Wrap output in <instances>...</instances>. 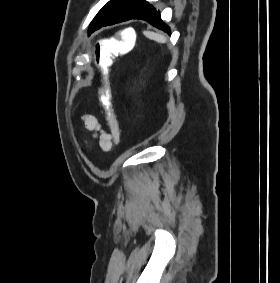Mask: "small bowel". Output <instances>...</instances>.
Instances as JSON below:
<instances>
[{
  "label": "small bowel",
  "mask_w": 280,
  "mask_h": 283,
  "mask_svg": "<svg viewBox=\"0 0 280 283\" xmlns=\"http://www.w3.org/2000/svg\"><path fill=\"white\" fill-rule=\"evenodd\" d=\"M85 128L90 131L98 140L99 147L102 151L108 152L117 143L114 138V127L119 130L117 121L112 124L108 121L110 132H107L101 122L91 114H84L82 117ZM120 133V130H119Z\"/></svg>",
  "instance_id": "1"
}]
</instances>
